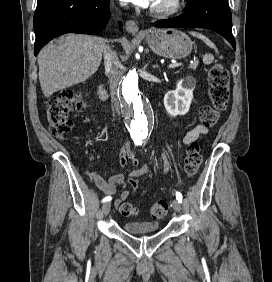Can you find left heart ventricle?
Returning a JSON list of instances; mask_svg holds the SVG:
<instances>
[{"instance_id": "obj_1", "label": "left heart ventricle", "mask_w": 272, "mask_h": 282, "mask_svg": "<svg viewBox=\"0 0 272 282\" xmlns=\"http://www.w3.org/2000/svg\"><path fill=\"white\" fill-rule=\"evenodd\" d=\"M175 0H154L152 9L164 10L170 8Z\"/></svg>"}]
</instances>
